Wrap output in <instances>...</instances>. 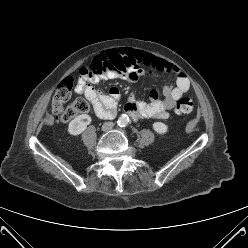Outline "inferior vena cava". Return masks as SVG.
<instances>
[{
    "mask_svg": "<svg viewBox=\"0 0 248 248\" xmlns=\"http://www.w3.org/2000/svg\"><path fill=\"white\" fill-rule=\"evenodd\" d=\"M114 126V123L113 122H105L103 125H102V130L103 131H109L112 129V127Z\"/></svg>",
    "mask_w": 248,
    "mask_h": 248,
    "instance_id": "602c4592",
    "label": "inferior vena cava"
}]
</instances>
